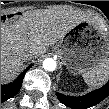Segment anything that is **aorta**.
<instances>
[{"label": "aorta", "instance_id": "obj_1", "mask_svg": "<svg viewBox=\"0 0 109 109\" xmlns=\"http://www.w3.org/2000/svg\"><path fill=\"white\" fill-rule=\"evenodd\" d=\"M43 68L46 71H54L56 69V61L52 58H47L43 61Z\"/></svg>", "mask_w": 109, "mask_h": 109}]
</instances>
